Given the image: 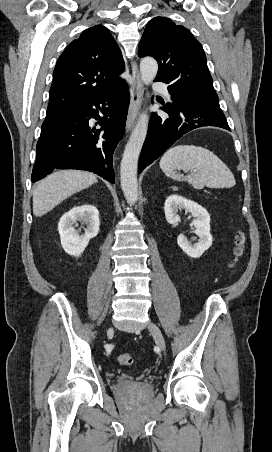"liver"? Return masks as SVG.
<instances>
[{
	"label": "liver",
	"mask_w": 272,
	"mask_h": 452,
	"mask_svg": "<svg viewBox=\"0 0 272 452\" xmlns=\"http://www.w3.org/2000/svg\"><path fill=\"white\" fill-rule=\"evenodd\" d=\"M97 182V177L81 170H60L43 179L33 193V213L41 217L71 195Z\"/></svg>",
	"instance_id": "6515ba94"
}]
</instances>
